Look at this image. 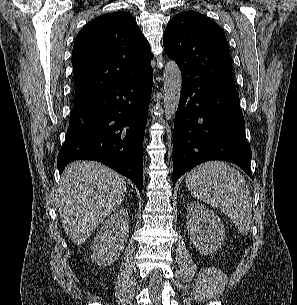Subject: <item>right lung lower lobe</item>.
Returning a JSON list of instances; mask_svg holds the SVG:
<instances>
[{"label": "right lung lower lobe", "instance_id": "obj_1", "mask_svg": "<svg viewBox=\"0 0 297 305\" xmlns=\"http://www.w3.org/2000/svg\"><path fill=\"white\" fill-rule=\"evenodd\" d=\"M153 70L101 90L71 113L57 166L74 160L102 162L143 189L142 148L151 99Z\"/></svg>", "mask_w": 297, "mask_h": 305}]
</instances>
